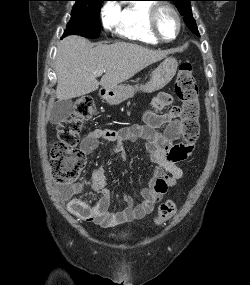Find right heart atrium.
<instances>
[{"label":"right heart atrium","instance_id":"d8ad5b80","mask_svg":"<svg viewBox=\"0 0 250 285\" xmlns=\"http://www.w3.org/2000/svg\"><path fill=\"white\" fill-rule=\"evenodd\" d=\"M119 6L114 2L106 3L101 9V19L105 29L111 30L117 26Z\"/></svg>","mask_w":250,"mask_h":285}]
</instances>
